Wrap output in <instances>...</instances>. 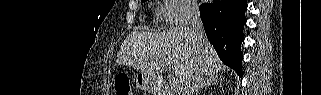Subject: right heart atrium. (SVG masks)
Returning <instances> with one entry per match:
<instances>
[{"mask_svg": "<svg viewBox=\"0 0 321 95\" xmlns=\"http://www.w3.org/2000/svg\"><path fill=\"white\" fill-rule=\"evenodd\" d=\"M197 13L191 0H164L158 6V15L169 25H181L190 22Z\"/></svg>", "mask_w": 321, "mask_h": 95, "instance_id": "obj_1", "label": "right heart atrium"}]
</instances>
